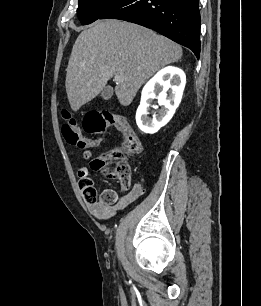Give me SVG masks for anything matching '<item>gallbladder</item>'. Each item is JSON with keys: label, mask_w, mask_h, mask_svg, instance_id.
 Segmentation results:
<instances>
[{"label": "gallbladder", "mask_w": 261, "mask_h": 306, "mask_svg": "<svg viewBox=\"0 0 261 306\" xmlns=\"http://www.w3.org/2000/svg\"><path fill=\"white\" fill-rule=\"evenodd\" d=\"M112 95H113V88L111 86H106L101 93V97L104 100L110 99Z\"/></svg>", "instance_id": "bac80fb5"}]
</instances>
